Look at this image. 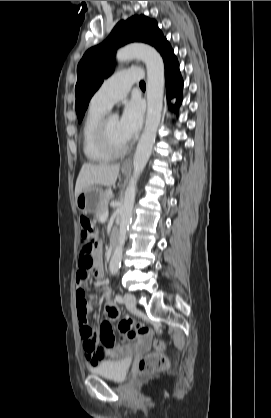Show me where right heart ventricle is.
Masks as SVG:
<instances>
[{"instance_id": "right-heart-ventricle-1", "label": "right heart ventricle", "mask_w": 271, "mask_h": 418, "mask_svg": "<svg viewBox=\"0 0 271 418\" xmlns=\"http://www.w3.org/2000/svg\"><path fill=\"white\" fill-rule=\"evenodd\" d=\"M108 109L90 104L82 126V147L86 158L93 163H103L112 159L113 156L104 152L96 142V130L101 119Z\"/></svg>"}]
</instances>
